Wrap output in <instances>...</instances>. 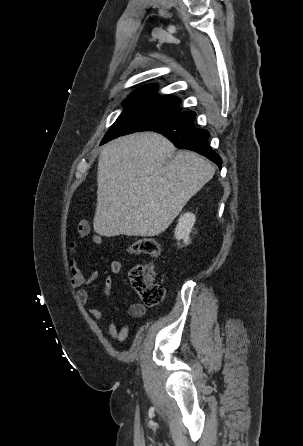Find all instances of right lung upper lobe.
<instances>
[{
  "label": "right lung upper lobe",
  "instance_id": "1",
  "mask_svg": "<svg viewBox=\"0 0 303 446\" xmlns=\"http://www.w3.org/2000/svg\"><path fill=\"white\" fill-rule=\"evenodd\" d=\"M157 85L143 86L132 93L124 102L130 108L161 110L173 99L156 96Z\"/></svg>",
  "mask_w": 303,
  "mask_h": 446
}]
</instances>
